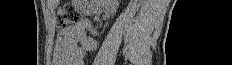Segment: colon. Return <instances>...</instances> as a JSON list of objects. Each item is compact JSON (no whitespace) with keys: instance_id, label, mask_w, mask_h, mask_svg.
<instances>
[{"instance_id":"5ec220e1","label":"colon","mask_w":232,"mask_h":65,"mask_svg":"<svg viewBox=\"0 0 232 65\" xmlns=\"http://www.w3.org/2000/svg\"><path fill=\"white\" fill-rule=\"evenodd\" d=\"M81 19L79 11L71 4L62 6L57 13L56 25L60 29H66L77 24ZM59 56H63L61 41H58Z\"/></svg>"}]
</instances>
